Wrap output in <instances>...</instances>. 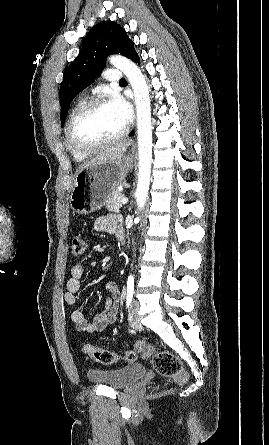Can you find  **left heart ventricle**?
<instances>
[{
    "label": "left heart ventricle",
    "mask_w": 269,
    "mask_h": 445,
    "mask_svg": "<svg viewBox=\"0 0 269 445\" xmlns=\"http://www.w3.org/2000/svg\"><path fill=\"white\" fill-rule=\"evenodd\" d=\"M126 126L108 102L85 114L77 122L74 136L84 145H93L116 136Z\"/></svg>",
    "instance_id": "left-heart-ventricle-1"
}]
</instances>
